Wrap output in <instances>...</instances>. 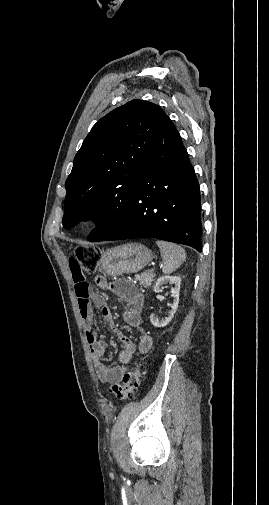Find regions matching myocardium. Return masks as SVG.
Masks as SVG:
<instances>
[{
  "label": "myocardium",
  "mask_w": 269,
  "mask_h": 505,
  "mask_svg": "<svg viewBox=\"0 0 269 505\" xmlns=\"http://www.w3.org/2000/svg\"><path fill=\"white\" fill-rule=\"evenodd\" d=\"M100 217L96 213H87L80 219V227L89 230L97 226L99 223Z\"/></svg>",
  "instance_id": "1"
}]
</instances>
